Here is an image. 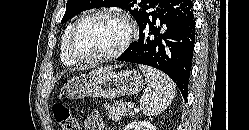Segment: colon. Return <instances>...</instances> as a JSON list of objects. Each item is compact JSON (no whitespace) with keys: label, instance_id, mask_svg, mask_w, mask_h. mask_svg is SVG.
Returning <instances> with one entry per match:
<instances>
[{"label":"colon","instance_id":"1","mask_svg":"<svg viewBox=\"0 0 249 130\" xmlns=\"http://www.w3.org/2000/svg\"><path fill=\"white\" fill-rule=\"evenodd\" d=\"M52 111L60 130H78L77 120L66 104L56 103L53 105Z\"/></svg>","mask_w":249,"mask_h":130}]
</instances>
